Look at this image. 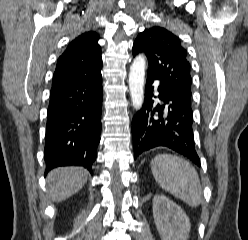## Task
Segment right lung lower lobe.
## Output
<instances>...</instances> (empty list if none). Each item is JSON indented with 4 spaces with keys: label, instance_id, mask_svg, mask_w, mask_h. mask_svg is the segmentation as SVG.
Masks as SVG:
<instances>
[{
    "label": "right lung lower lobe",
    "instance_id": "1",
    "mask_svg": "<svg viewBox=\"0 0 248 240\" xmlns=\"http://www.w3.org/2000/svg\"><path fill=\"white\" fill-rule=\"evenodd\" d=\"M50 95L44 149L46 171L76 165L92 173L101 133V72L52 88Z\"/></svg>",
    "mask_w": 248,
    "mask_h": 240
}]
</instances>
